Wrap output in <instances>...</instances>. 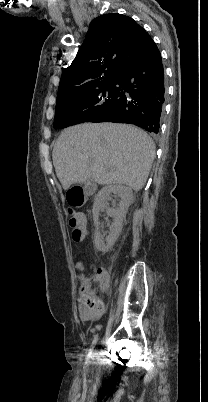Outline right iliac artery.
<instances>
[{
    "label": "right iliac artery",
    "mask_w": 208,
    "mask_h": 402,
    "mask_svg": "<svg viewBox=\"0 0 208 402\" xmlns=\"http://www.w3.org/2000/svg\"><path fill=\"white\" fill-rule=\"evenodd\" d=\"M97 341H98V334H95V335H94V339H93V341H92V345H91V347H90V349H89V352H88V358H91V357H92L93 352H94V348H95V346H96V344H97Z\"/></svg>",
    "instance_id": "obj_1"
}]
</instances>
